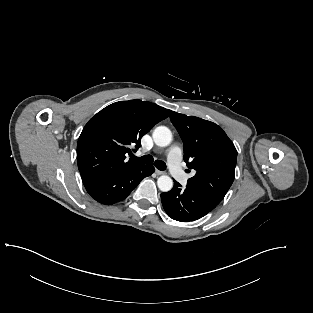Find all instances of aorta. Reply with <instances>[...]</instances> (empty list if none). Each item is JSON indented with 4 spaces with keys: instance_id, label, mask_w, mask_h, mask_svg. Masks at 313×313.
Listing matches in <instances>:
<instances>
[{
    "instance_id": "obj_1",
    "label": "aorta",
    "mask_w": 313,
    "mask_h": 313,
    "mask_svg": "<svg viewBox=\"0 0 313 313\" xmlns=\"http://www.w3.org/2000/svg\"><path fill=\"white\" fill-rule=\"evenodd\" d=\"M152 136L155 144L160 147H165L172 141V133L165 126L155 128ZM157 185L162 192H168L173 187V181L169 176L163 175L158 178Z\"/></svg>"
}]
</instances>
